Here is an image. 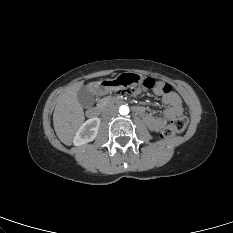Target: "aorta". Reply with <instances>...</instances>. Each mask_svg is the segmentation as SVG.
Masks as SVG:
<instances>
[{
    "instance_id": "obj_1",
    "label": "aorta",
    "mask_w": 233,
    "mask_h": 233,
    "mask_svg": "<svg viewBox=\"0 0 233 233\" xmlns=\"http://www.w3.org/2000/svg\"><path fill=\"white\" fill-rule=\"evenodd\" d=\"M119 113H120L121 115H127V114L129 113V107L126 106V105L120 106V108H119Z\"/></svg>"
}]
</instances>
